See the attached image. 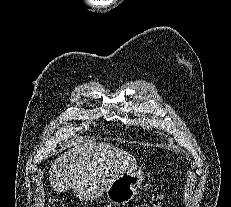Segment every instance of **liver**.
<instances>
[{"label":"liver","mask_w":231,"mask_h":207,"mask_svg":"<svg viewBox=\"0 0 231 207\" xmlns=\"http://www.w3.org/2000/svg\"><path fill=\"white\" fill-rule=\"evenodd\" d=\"M137 167L132 155L110 144L73 142V147L51 164L50 186L54 191L73 189L81 200L100 197L116 177Z\"/></svg>","instance_id":"1"}]
</instances>
